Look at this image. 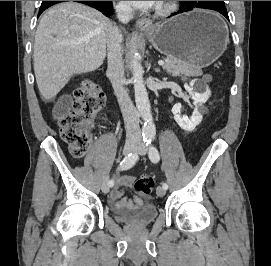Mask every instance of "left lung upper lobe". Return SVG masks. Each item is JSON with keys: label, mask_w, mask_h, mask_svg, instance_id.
Instances as JSON below:
<instances>
[{"label": "left lung upper lobe", "mask_w": 271, "mask_h": 266, "mask_svg": "<svg viewBox=\"0 0 271 266\" xmlns=\"http://www.w3.org/2000/svg\"><path fill=\"white\" fill-rule=\"evenodd\" d=\"M184 7L188 8H204L217 12L226 11L224 1H181Z\"/></svg>", "instance_id": "left-lung-upper-lobe-1"}]
</instances>
